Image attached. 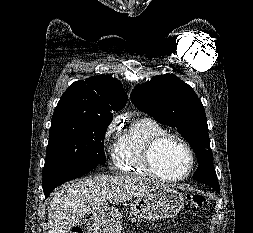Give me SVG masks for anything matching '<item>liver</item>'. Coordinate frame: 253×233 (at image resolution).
Listing matches in <instances>:
<instances>
[{
  "mask_svg": "<svg viewBox=\"0 0 253 233\" xmlns=\"http://www.w3.org/2000/svg\"><path fill=\"white\" fill-rule=\"evenodd\" d=\"M161 186L165 185L129 175H98L67 184L49 203L48 233H69L86 214L102 213L107 195H113V204H119Z\"/></svg>",
  "mask_w": 253,
  "mask_h": 233,
  "instance_id": "liver-1",
  "label": "liver"
}]
</instances>
